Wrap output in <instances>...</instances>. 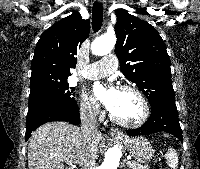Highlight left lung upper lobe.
I'll return each instance as SVG.
<instances>
[{
    "mask_svg": "<svg viewBox=\"0 0 200 169\" xmlns=\"http://www.w3.org/2000/svg\"><path fill=\"white\" fill-rule=\"evenodd\" d=\"M116 55L127 79L137 84L150 105L175 102L170 59L157 30L125 10L116 12Z\"/></svg>",
    "mask_w": 200,
    "mask_h": 169,
    "instance_id": "left-lung-upper-lobe-1",
    "label": "left lung upper lobe"
}]
</instances>
